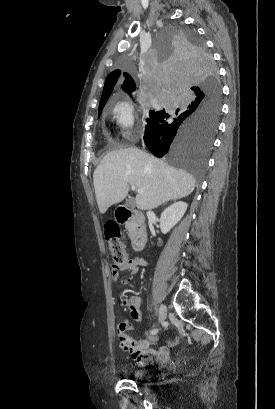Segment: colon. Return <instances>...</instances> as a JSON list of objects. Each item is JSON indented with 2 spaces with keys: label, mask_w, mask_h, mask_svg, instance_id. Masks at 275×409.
Returning <instances> with one entry per match:
<instances>
[{
  "label": "colon",
  "mask_w": 275,
  "mask_h": 409,
  "mask_svg": "<svg viewBox=\"0 0 275 409\" xmlns=\"http://www.w3.org/2000/svg\"><path fill=\"white\" fill-rule=\"evenodd\" d=\"M104 239L107 241L110 251L116 258L112 263V268L116 270H125L127 265L131 263V258L124 254V244L121 241V228L117 222L109 221L103 227ZM131 284V282L129 281ZM125 304L130 312L132 306L140 307V300L137 297L127 298ZM182 342V336H177L173 339L172 345H179Z\"/></svg>",
  "instance_id": "1"
}]
</instances>
